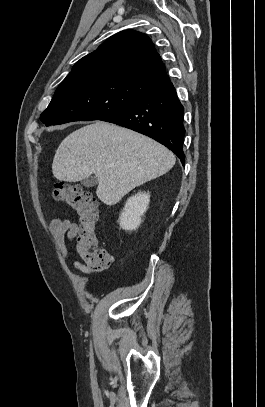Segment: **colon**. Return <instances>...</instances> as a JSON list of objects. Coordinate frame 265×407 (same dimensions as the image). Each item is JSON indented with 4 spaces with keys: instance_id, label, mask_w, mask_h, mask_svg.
Here are the masks:
<instances>
[{
    "instance_id": "obj_1",
    "label": "colon",
    "mask_w": 265,
    "mask_h": 407,
    "mask_svg": "<svg viewBox=\"0 0 265 407\" xmlns=\"http://www.w3.org/2000/svg\"><path fill=\"white\" fill-rule=\"evenodd\" d=\"M52 198L64 202L74 209L80 222V232L76 239V255L81 264L91 271L109 268L112 255L100 248L97 242L96 226L99 222V209L96 199L81 187L63 183L54 185Z\"/></svg>"
}]
</instances>
